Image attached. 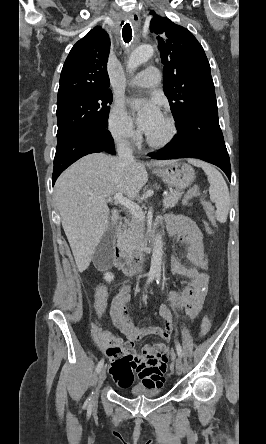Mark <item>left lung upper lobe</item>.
Here are the masks:
<instances>
[{"mask_svg":"<svg viewBox=\"0 0 266 444\" xmlns=\"http://www.w3.org/2000/svg\"><path fill=\"white\" fill-rule=\"evenodd\" d=\"M150 30L159 34L163 88L176 124L200 108L217 107L210 65L201 44L186 28L155 15Z\"/></svg>","mask_w":266,"mask_h":444,"instance_id":"left-lung-upper-lobe-1","label":"left lung upper lobe"}]
</instances>
